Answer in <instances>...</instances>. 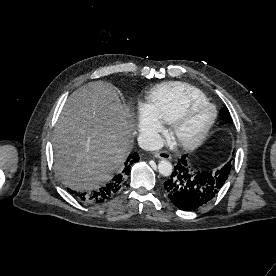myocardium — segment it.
Listing matches in <instances>:
<instances>
[{"mask_svg":"<svg viewBox=\"0 0 276 276\" xmlns=\"http://www.w3.org/2000/svg\"><path fill=\"white\" fill-rule=\"evenodd\" d=\"M207 105L212 109V117L208 124L204 127V129L197 135L189 138H184L180 136V129L183 125L184 121L186 120L189 112L198 105ZM218 116L217 109L214 104L209 102L207 99H197L189 102L182 111L172 120L170 123L171 126V135L174 138V140L178 143L179 146L186 148V149H192L196 148L199 145H201L207 136L209 135L211 129L213 128L216 119Z\"/></svg>","mask_w":276,"mask_h":276,"instance_id":"1","label":"myocardium"}]
</instances>
